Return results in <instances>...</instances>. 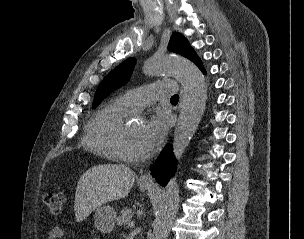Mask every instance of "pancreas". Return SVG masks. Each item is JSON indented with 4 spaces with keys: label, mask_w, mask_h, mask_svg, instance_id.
I'll return each mask as SVG.
<instances>
[{
    "label": "pancreas",
    "mask_w": 304,
    "mask_h": 239,
    "mask_svg": "<svg viewBox=\"0 0 304 239\" xmlns=\"http://www.w3.org/2000/svg\"><path fill=\"white\" fill-rule=\"evenodd\" d=\"M133 212L131 209L125 207L121 210L120 215L117 218V224L118 225H127L131 222Z\"/></svg>",
    "instance_id": "1"
}]
</instances>
